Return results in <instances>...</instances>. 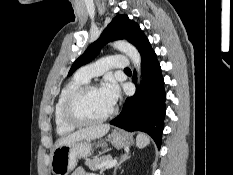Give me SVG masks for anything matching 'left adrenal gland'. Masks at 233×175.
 Segmentation results:
<instances>
[{"label":"left adrenal gland","mask_w":233,"mask_h":175,"mask_svg":"<svg viewBox=\"0 0 233 175\" xmlns=\"http://www.w3.org/2000/svg\"><path fill=\"white\" fill-rule=\"evenodd\" d=\"M131 158V155L130 154H124L121 156V159L120 161L118 162V164L115 166L114 168V172H113V175H116V171H117V168H119V166L126 160L130 159Z\"/></svg>","instance_id":"obj_1"}]
</instances>
